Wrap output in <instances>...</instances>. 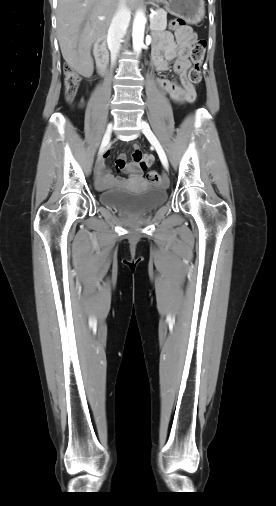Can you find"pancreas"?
Here are the masks:
<instances>
[{"instance_id": "obj_1", "label": "pancreas", "mask_w": 276, "mask_h": 506, "mask_svg": "<svg viewBox=\"0 0 276 506\" xmlns=\"http://www.w3.org/2000/svg\"><path fill=\"white\" fill-rule=\"evenodd\" d=\"M167 26V12L163 9H158L154 18L150 21V28L152 32L164 31Z\"/></svg>"}]
</instances>
